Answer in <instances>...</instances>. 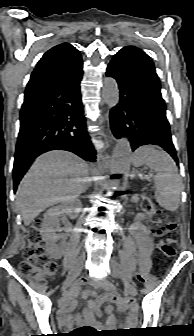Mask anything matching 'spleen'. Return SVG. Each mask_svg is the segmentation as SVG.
Returning a JSON list of instances; mask_svg holds the SVG:
<instances>
[{
    "label": "spleen",
    "mask_w": 194,
    "mask_h": 336,
    "mask_svg": "<svg viewBox=\"0 0 194 336\" xmlns=\"http://www.w3.org/2000/svg\"><path fill=\"white\" fill-rule=\"evenodd\" d=\"M133 164L139 167L146 164L155 170L154 182L157 202L168 211L177 210L181 194V178L172 158L153 146H142L136 150Z\"/></svg>",
    "instance_id": "obj_1"
}]
</instances>
